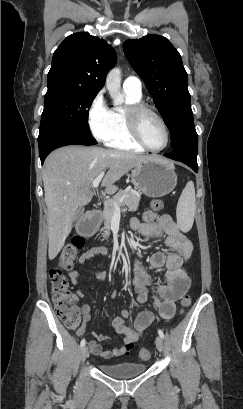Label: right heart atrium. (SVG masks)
<instances>
[{"label":"right heart atrium","mask_w":243,"mask_h":409,"mask_svg":"<svg viewBox=\"0 0 243 409\" xmlns=\"http://www.w3.org/2000/svg\"><path fill=\"white\" fill-rule=\"evenodd\" d=\"M87 122L93 136L106 142L116 131L117 121L113 110L108 106L103 91L92 99L87 110Z\"/></svg>","instance_id":"obj_1"}]
</instances>
